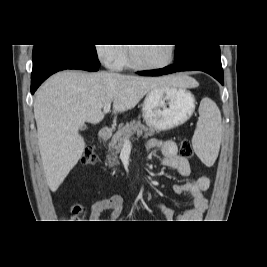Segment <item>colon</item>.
Masks as SVG:
<instances>
[{"label": "colon", "mask_w": 267, "mask_h": 267, "mask_svg": "<svg viewBox=\"0 0 267 267\" xmlns=\"http://www.w3.org/2000/svg\"><path fill=\"white\" fill-rule=\"evenodd\" d=\"M180 155L184 158H190L193 155L191 148V143L189 140L184 139L180 143ZM82 162L86 165H93L96 162V154L91 148H86L82 155ZM73 213L78 215L82 211L80 205L73 207ZM71 222H81V221H71Z\"/></svg>", "instance_id": "1"}]
</instances>
